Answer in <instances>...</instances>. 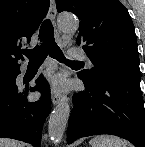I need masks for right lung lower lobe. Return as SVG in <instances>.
<instances>
[{"instance_id":"98d812e1","label":"right lung lower lobe","mask_w":145,"mask_h":147,"mask_svg":"<svg viewBox=\"0 0 145 147\" xmlns=\"http://www.w3.org/2000/svg\"><path fill=\"white\" fill-rule=\"evenodd\" d=\"M19 74V69L2 74L10 78L0 81V137L40 147L43 124L51 109L49 85L40 76L35 87L18 88L16 77ZM35 90H44L40 100L28 101L29 92Z\"/></svg>"}]
</instances>
